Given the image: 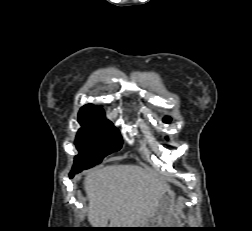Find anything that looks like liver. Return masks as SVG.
Here are the masks:
<instances>
[{
	"label": "liver",
	"instance_id": "liver-1",
	"mask_svg": "<svg viewBox=\"0 0 252 231\" xmlns=\"http://www.w3.org/2000/svg\"><path fill=\"white\" fill-rule=\"evenodd\" d=\"M88 221L94 228H138L155 212L169 186L137 165H109L84 178Z\"/></svg>",
	"mask_w": 252,
	"mask_h": 231
}]
</instances>
